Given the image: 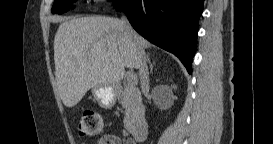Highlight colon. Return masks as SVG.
<instances>
[{
	"instance_id": "5ec220e1",
	"label": "colon",
	"mask_w": 273,
	"mask_h": 144,
	"mask_svg": "<svg viewBox=\"0 0 273 144\" xmlns=\"http://www.w3.org/2000/svg\"><path fill=\"white\" fill-rule=\"evenodd\" d=\"M103 129V121L100 114L94 109L83 111L78 123V133L82 137H94Z\"/></svg>"
}]
</instances>
